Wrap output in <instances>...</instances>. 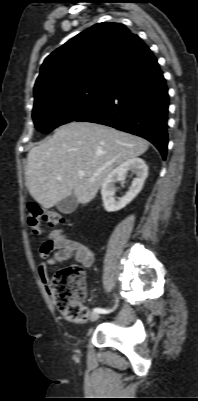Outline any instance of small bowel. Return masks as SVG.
Wrapping results in <instances>:
<instances>
[{
	"mask_svg": "<svg viewBox=\"0 0 198 401\" xmlns=\"http://www.w3.org/2000/svg\"><path fill=\"white\" fill-rule=\"evenodd\" d=\"M39 256L38 274L45 284L49 281L50 268L57 262L73 260L82 263L85 268H90L94 263L91 248L62 230L49 233L39 248Z\"/></svg>",
	"mask_w": 198,
	"mask_h": 401,
	"instance_id": "small-bowel-1",
	"label": "small bowel"
}]
</instances>
